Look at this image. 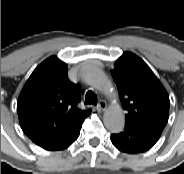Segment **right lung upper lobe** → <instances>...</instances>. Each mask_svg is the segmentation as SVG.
I'll return each mask as SVG.
<instances>
[{
  "label": "right lung upper lobe",
  "instance_id": "cb5924a9",
  "mask_svg": "<svg viewBox=\"0 0 184 174\" xmlns=\"http://www.w3.org/2000/svg\"><path fill=\"white\" fill-rule=\"evenodd\" d=\"M80 87L67 78V65L56 56L43 61L24 85L17 102L20 125L37 145L64 137L90 115L77 107Z\"/></svg>",
  "mask_w": 184,
  "mask_h": 174
}]
</instances>
